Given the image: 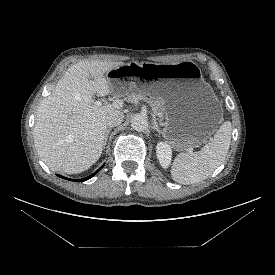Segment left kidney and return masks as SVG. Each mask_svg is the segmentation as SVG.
<instances>
[{"mask_svg":"<svg viewBox=\"0 0 275 275\" xmlns=\"http://www.w3.org/2000/svg\"><path fill=\"white\" fill-rule=\"evenodd\" d=\"M156 155L163 168H168L171 163V147L165 142H159L156 146Z\"/></svg>","mask_w":275,"mask_h":275,"instance_id":"5707ae66","label":"left kidney"}]
</instances>
